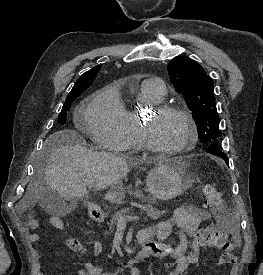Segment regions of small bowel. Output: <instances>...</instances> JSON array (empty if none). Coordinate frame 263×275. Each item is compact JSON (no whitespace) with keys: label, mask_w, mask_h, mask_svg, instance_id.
I'll return each instance as SVG.
<instances>
[{"label":"small bowel","mask_w":263,"mask_h":275,"mask_svg":"<svg viewBox=\"0 0 263 275\" xmlns=\"http://www.w3.org/2000/svg\"><path fill=\"white\" fill-rule=\"evenodd\" d=\"M59 219V225L55 227V219ZM209 220V214L201 208L187 209L177 208L172 213L169 219L158 222L156 225L145 228L139 234L145 236V248L149 252V256L158 258H167L169 262L164 265L166 275H182L186 269L198 262L201 246L204 244L200 239L202 223ZM52 225L57 229H63V220L59 217L51 219ZM28 225L31 228H36L38 222L29 220ZM176 230L178 236V244L173 245L169 242V237ZM156 236L157 241H152V237ZM33 242L39 240L37 233L31 234ZM66 246L73 252L79 254L88 253V248L76 238H68L65 241ZM103 250V245L100 241L92 243L91 254L98 256ZM84 268L76 271L74 275H118V271H107L105 267L96 266L92 263H84ZM38 275H44L38 273ZM128 275H138L136 268H131Z\"/></svg>","instance_id":"obj_1"}]
</instances>
